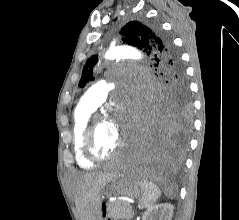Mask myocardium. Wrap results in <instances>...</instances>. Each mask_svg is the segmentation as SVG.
<instances>
[{
	"label": "myocardium",
	"mask_w": 239,
	"mask_h": 220,
	"mask_svg": "<svg viewBox=\"0 0 239 220\" xmlns=\"http://www.w3.org/2000/svg\"><path fill=\"white\" fill-rule=\"evenodd\" d=\"M108 121L107 116L94 114L89 118L83 133V150L87 158L93 162L108 161L116 157L124 147V141L120 138L116 148L107 155H99L94 148V131L98 123Z\"/></svg>",
	"instance_id": "myocardium-1"
}]
</instances>
